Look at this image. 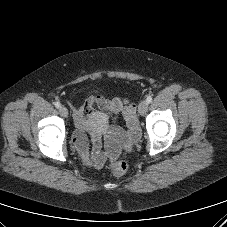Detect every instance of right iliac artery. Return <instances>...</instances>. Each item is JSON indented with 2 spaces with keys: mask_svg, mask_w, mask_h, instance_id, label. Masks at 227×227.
<instances>
[{
  "mask_svg": "<svg viewBox=\"0 0 227 227\" xmlns=\"http://www.w3.org/2000/svg\"><path fill=\"white\" fill-rule=\"evenodd\" d=\"M54 105L56 108H59L61 106V104L59 102H55Z\"/></svg>",
  "mask_w": 227,
  "mask_h": 227,
  "instance_id": "right-iliac-artery-1",
  "label": "right iliac artery"
}]
</instances>
